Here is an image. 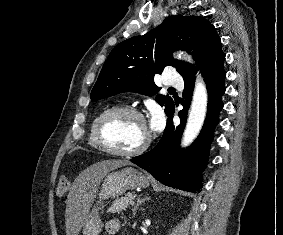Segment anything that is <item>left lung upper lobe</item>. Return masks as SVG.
I'll list each match as a JSON object with an SVG mask.
<instances>
[{
  "mask_svg": "<svg viewBox=\"0 0 283 235\" xmlns=\"http://www.w3.org/2000/svg\"><path fill=\"white\" fill-rule=\"evenodd\" d=\"M179 49L192 54L202 74L225 60L221 40L208 21L200 16H170L154 30L127 39L111 51L91 91V100L121 92L155 95L160 88L154 83V75L168 65L175 67L184 80L194 78L193 66L172 57ZM155 100L165 106L169 116L174 107L172 98L157 95Z\"/></svg>",
  "mask_w": 283,
  "mask_h": 235,
  "instance_id": "obj_1",
  "label": "left lung upper lobe"
}]
</instances>
